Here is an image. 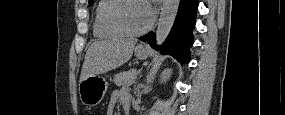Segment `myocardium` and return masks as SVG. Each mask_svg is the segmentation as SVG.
<instances>
[{
    "label": "myocardium",
    "mask_w": 285,
    "mask_h": 115,
    "mask_svg": "<svg viewBox=\"0 0 285 115\" xmlns=\"http://www.w3.org/2000/svg\"><path fill=\"white\" fill-rule=\"evenodd\" d=\"M137 0H116L115 3L109 7V9L106 12L105 15V20L106 22L121 32L125 36H139L148 31L150 28V24H147L144 28L137 30V31H132L128 29L119 19V12L122 10L125 4L129 2H134ZM141 2V1H138Z\"/></svg>",
    "instance_id": "f54148a6"
}]
</instances>
